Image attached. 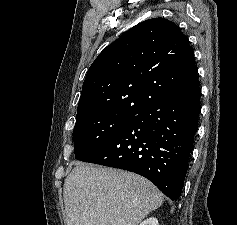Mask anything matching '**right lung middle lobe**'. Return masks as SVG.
<instances>
[{"mask_svg":"<svg viewBox=\"0 0 237 225\" xmlns=\"http://www.w3.org/2000/svg\"><path fill=\"white\" fill-rule=\"evenodd\" d=\"M134 116L135 114H106L76 120L73 131L75 158L80 160L91 153L119 132Z\"/></svg>","mask_w":237,"mask_h":225,"instance_id":"right-lung-middle-lobe-1","label":"right lung middle lobe"}]
</instances>
